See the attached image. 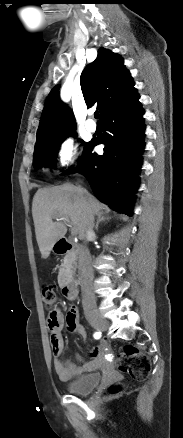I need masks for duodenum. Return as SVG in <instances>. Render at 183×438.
<instances>
[{
  "label": "duodenum",
  "instance_id": "duodenum-1",
  "mask_svg": "<svg viewBox=\"0 0 183 438\" xmlns=\"http://www.w3.org/2000/svg\"><path fill=\"white\" fill-rule=\"evenodd\" d=\"M56 253L66 255L68 253L75 254L77 246L66 238L59 239L55 244ZM62 290L66 297L74 301L77 298V289L72 280H67L63 283Z\"/></svg>",
  "mask_w": 183,
  "mask_h": 438
}]
</instances>
